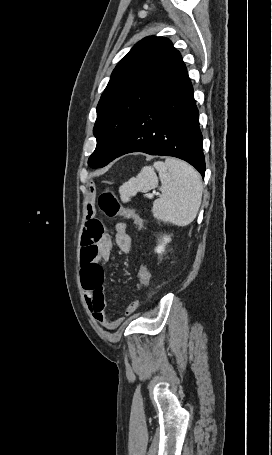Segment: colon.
I'll return each instance as SVG.
<instances>
[{
    "mask_svg": "<svg viewBox=\"0 0 272 455\" xmlns=\"http://www.w3.org/2000/svg\"><path fill=\"white\" fill-rule=\"evenodd\" d=\"M99 205L107 216H123L124 218L133 221L138 229L141 228L142 222L137 212L134 209L123 207L119 199L111 192H105L100 196ZM150 277L151 274L147 264L141 262L138 270V282L141 286L142 293L146 292Z\"/></svg>",
    "mask_w": 272,
    "mask_h": 455,
    "instance_id": "obj_1",
    "label": "colon"
}]
</instances>
